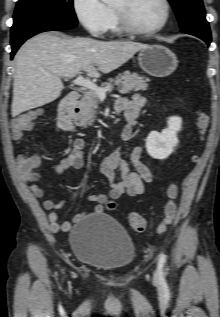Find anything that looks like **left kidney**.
<instances>
[{
    "mask_svg": "<svg viewBox=\"0 0 220 317\" xmlns=\"http://www.w3.org/2000/svg\"><path fill=\"white\" fill-rule=\"evenodd\" d=\"M180 126L181 120L179 118H171L167 129H164L161 133L151 132L146 139L148 154L155 159L167 158L178 143L176 132Z\"/></svg>",
    "mask_w": 220,
    "mask_h": 317,
    "instance_id": "left-kidney-1",
    "label": "left kidney"
}]
</instances>
